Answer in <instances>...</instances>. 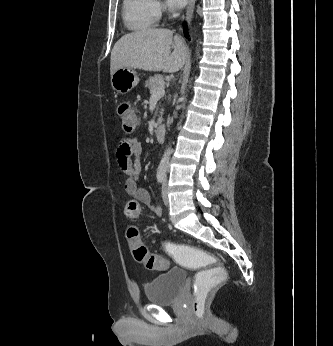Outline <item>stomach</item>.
I'll use <instances>...</instances> for the list:
<instances>
[{
    "instance_id": "0dacf381",
    "label": "stomach",
    "mask_w": 333,
    "mask_h": 346,
    "mask_svg": "<svg viewBox=\"0 0 333 346\" xmlns=\"http://www.w3.org/2000/svg\"><path fill=\"white\" fill-rule=\"evenodd\" d=\"M140 79L134 69L120 68L111 75V86L120 94H126L137 86Z\"/></svg>"
}]
</instances>
